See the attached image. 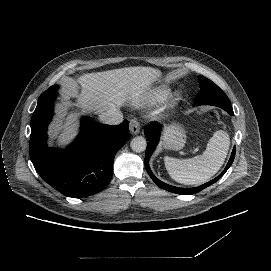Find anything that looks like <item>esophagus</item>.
I'll return each instance as SVG.
<instances>
[{
    "label": "esophagus",
    "instance_id": "1",
    "mask_svg": "<svg viewBox=\"0 0 271 271\" xmlns=\"http://www.w3.org/2000/svg\"><path fill=\"white\" fill-rule=\"evenodd\" d=\"M140 132V125L136 119H131L130 121V133L132 135H137Z\"/></svg>",
    "mask_w": 271,
    "mask_h": 271
}]
</instances>
